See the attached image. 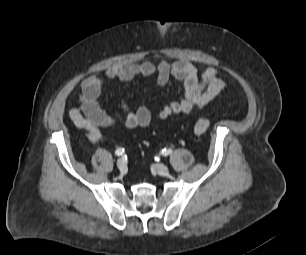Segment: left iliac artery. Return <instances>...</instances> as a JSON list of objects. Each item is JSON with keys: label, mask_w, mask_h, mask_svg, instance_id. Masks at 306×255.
Returning a JSON list of instances; mask_svg holds the SVG:
<instances>
[{"label": "left iliac artery", "mask_w": 306, "mask_h": 255, "mask_svg": "<svg viewBox=\"0 0 306 255\" xmlns=\"http://www.w3.org/2000/svg\"><path fill=\"white\" fill-rule=\"evenodd\" d=\"M172 153V149L171 148H165V149H163L162 151H161V154L163 155V156H168L169 154H171Z\"/></svg>", "instance_id": "1"}]
</instances>
